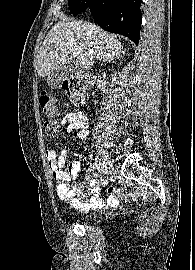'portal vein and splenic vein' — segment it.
Returning a JSON list of instances; mask_svg holds the SVG:
<instances>
[{
    "label": "portal vein and splenic vein",
    "instance_id": "obj_1",
    "mask_svg": "<svg viewBox=\"0 0 195 270\" xmlns=\"http://www.w3.org/2000/svg\"><path fill=\"white\" fill-rule=\"evenodd\" d=\"M70 53H71V55H72L73 57H77V56H78V52H77L76 50L71 49V50H70Z\"/></svg>",
    "mask_w": 195,
    "mask_h": 270
}]
</instances>
